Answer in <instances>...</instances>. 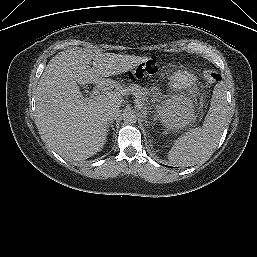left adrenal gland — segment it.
Here are the masks:
<instances>
[{
  "mask_svg": "<svg viewBox=\"0 0 257 257\" xmlns=\"http://www.w3.org/2000/svg\"><path fill=\"white\" fill-rule=\"evenodd\" d=\"M142 114H143V117H144L145 120H146V112H143Z\"/></svg>",
  "mask_w": 257,
  "mask_h": 257,
  "instance_id": "a2214340",
  "label": "left adrenal gland"
}]
</instances>
